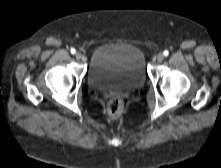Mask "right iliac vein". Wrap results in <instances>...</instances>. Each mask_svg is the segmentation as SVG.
<instances>
[{
	"mask_svg": "<svg viewBox=\"0 0 221 168\" xmlns=\"http://www.w3.org/2000/svg\"><path fill=\"white\" fill-rule=\"evenodd\" d=\"M75 57H76L77 60H80L82 58V54L80 52H77L75 54Z\"/></svg>",
	"mask_w": 221,
	"mask_h": 168,
	"instance_id": "63e3f726",
	"label": "right iliac vein"
}]
</instances>
